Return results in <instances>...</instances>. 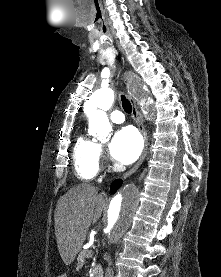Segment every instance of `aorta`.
Listing matches in <instances>:
<instances>
[{"mask_svg":"<svg viewBox=\"0 0 221 277\" xmlns=\"http://www.w3.org/2000/svg\"><path fill=\"white\" fill-rule=\"evenodd\" d=\"M132 89L138 97H148L143 84L133 77ZM115 98L111 87H103L92 94L86 103L85 113L89 118V132L99 140H105L112 130L106 111L112 106ZM150 113L155 112V102L148 107ZM139 206V191L134 185H127L117 192L109 203L107 219L103 225V233L108 243L117 242L133 222Z\"/></svg>","mask_w":221,"mask_h":277,"instance_id":"1","label":"aorta"}]
</instances>
